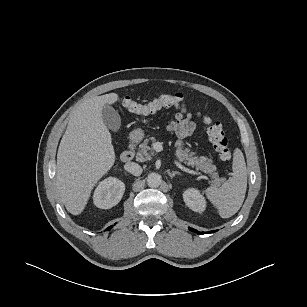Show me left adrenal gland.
<instances>
[{"mask_svg": "<svg viewBox=\"0 0 307 307\" xmlns=\"http://www.w3.org/2000/svg\"><path fill=\"white\" fill-rule=\"evenodd\" d=\"M168 175L172 179L173 177H175V175H180V173L178 171H173V172L168 171Z\"/></svg>", "mask_w": 307, "mask_h": 307, "instance_id": "1", "label": "left adrenal gland"}]
</instances>
